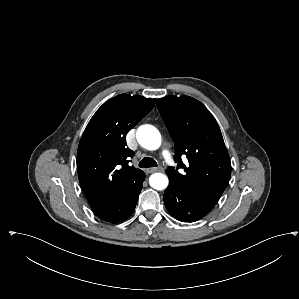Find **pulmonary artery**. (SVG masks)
<instances>
[{"instance_id":"1","label":"pulmonary artery","mask_w":299,"mask_h":299,"mask_svg":"<svg viewBox=\"0 0 299 299\" xmlns=\"http://www.w3.org/2000/svg\"><path fill=\"white\" fill-rule=\"evenodd\" d=\"M162 155L165 158L166 161H169L171 159V152L167 149H164L162 151Z\"/></svg>"}]
</instances>
